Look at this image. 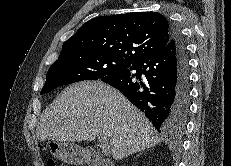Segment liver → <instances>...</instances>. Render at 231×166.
<instances>
[{"label":"liver","mask_w":231,"mask_h":166,"mask_svg":"<svg viewBox=\"0 0 231 166\" xmlns=\"http://www.w3.org/2000/svg\"><path fill=\"white\" fill-rule=\"evenodd\" d=\"M110 141L115 160L153 147L160 138L145 115L119 91L102 81L68 86L41 114L36 136L41 141Z\"/></svg>","instance_id":"obj_1"}]
</instances>
